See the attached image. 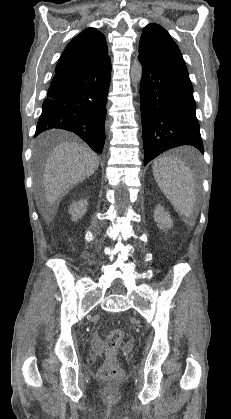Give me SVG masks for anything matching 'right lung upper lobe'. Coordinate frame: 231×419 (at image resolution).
Listing matches in <instances>:
<instances>
[{
  "instance_id": "1",
  "label": "right lung upper lobe",
  "mask_w": 231,
  "mask_h": 419,
  "mask_svg": "<svg viewBox=\"0 0 231 419\" xmlns=\"http://www.w3.org/2000/svg\"><path fill=\"white\" fill-rule=\"evenodd\" d=\"M110 61L103 33L87 28L73 38L63 51L55 71L100 66Z\"/></svg>"
}]
</instances>
